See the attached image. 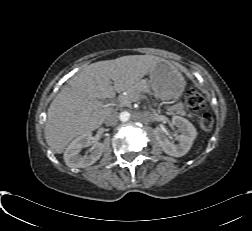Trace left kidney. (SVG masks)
Segmentation results:
<instances>
[{
	"label": "left kidney",
	"instance_id": "left-kidney-1",
	"mask_svg": "<svg viewBox=\"0 0 252 231\" xmlns=\"http://www.w3.org/2000/svg\"><path fill=\"white\" fill-rule=\"evenodd\" d=\"M172 124L176 126L181 133L179 135L178 144L169 141L164 130L159 127L154 131L155 137L166 154L174 157H181L190 150L197 136V131L191 122L180 116H173Z\"/></svg>",
	"mask_w": 252,
	"mask_h": 231
}]
</instances>
